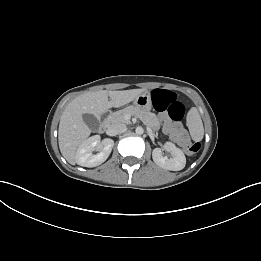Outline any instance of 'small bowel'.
Here are the masks:
<instances>
[{"mask_svg":"<svg viewBox=\"0 0 261 261\" xmlns=\"http://www.w3.org/2000/svg\"><path fill=\"white\" fill-rule=\"evenodd\" d=\"M164 131L170 136L171 140L178 144H185L188 142V135L180 123L172 122L164 119Z\"/></svg>","mask_w":261,"mask_h":261,"instance_id":"obj_1","label":"small bowel"}]
</instances>
